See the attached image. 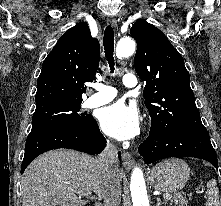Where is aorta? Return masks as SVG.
I'll use <instances>...</instances> for the list:
<instances>
[{"mask_svg": "<svg viewBox=\"0 0 221 206\" xmlns=\"http://www.w3.org/2000/svg\"><path fill=\"white\" fill-rule=\"evenodd\" d=\"M135 41L130 37L121 38L116 46L118 58L131 56L135 51ZM133 206H149L147 190L143 172L139 167H135L130 182Z\"/></svg>", "mask_w": 221, "mask_h": 206, "instance_id": "aorta-1", "label": "aorta"}]
</instances>
